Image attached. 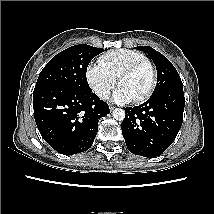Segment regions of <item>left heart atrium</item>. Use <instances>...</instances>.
I'll return each instance as SVG.
<instances>
[{"label": "left heart atrium", "mask_w": 214, "mask_h": 214, "mask_svg": "<svg viewBox=\"0 0 214 214\" xmlns=\"http://www.w3.org/2000/svg\"><path fill=\"white\" fill-rule=\"evenodd\" d=\"M113 100L118 103H128L133 97L123 87H119L113 94Z\"/></svg>", "instance_id": "1"}]
</instances>
